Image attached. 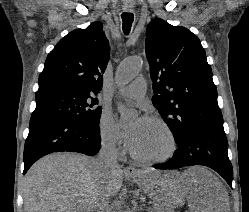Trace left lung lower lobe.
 <instances>
[{"label": "left lung lower lobe", "mask_w": 249, "mask_h": 212, "mask_svg": "<svg viewBox=\"0 0 249 212\" xmlns=\"http://www.w3.org/2000/svg\"><path fill=\"white\" fill-rule=\"evenodd\" d=\"M193 165L212 168L232 185L233 169L228 158V142L223 123L186 128L185 136L177 143L173 158L154 168L176 169Z\"/></svg>", "instance_id": "0a47b994"}]
</instances>
